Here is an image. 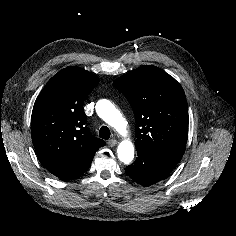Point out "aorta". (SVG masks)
Masks as SVG:
<instances>
[{
	"label": "aorta",
	"mask_w": 236,
	"mask_h": 236,
	"mask_svg": "<svg viewBox=\"0 0 236 236\" xmlns=\"http://www.w3.org/2000/svg\"><path fill=\"white\" fill-rule=\"evenodd\" d=\"M96 112L101 119L116 129L122 136H126V124L118 109L108 100H100L96 104ZM118 158L124 164H129L134 158V146L130 140L122 141L117 148Z\"/></svg>",
	"instance_id": "obj_1"
}]
</instances>
